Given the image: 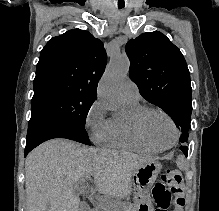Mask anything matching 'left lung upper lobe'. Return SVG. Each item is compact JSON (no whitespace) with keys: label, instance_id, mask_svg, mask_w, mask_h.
Returning <instances> with one entry per match:
<instances>
[{"label":"left lung upper lobe","instance_id":"left-lung-upper-lobe-1","mask_svg":"<svg viewBox=\"0 0 219 211\" xmlns=\"http://www.w3.org/2000/svg\"><path fill=\"white\" fill-rule=\"evenodd\" d=\"M130 78L141 95L163 109L188 140L192 113L190 73L180 50L161 32L154 31L126 44Z\"/></svg>","mask_w":219,"mask_h":211}]
</instances>
